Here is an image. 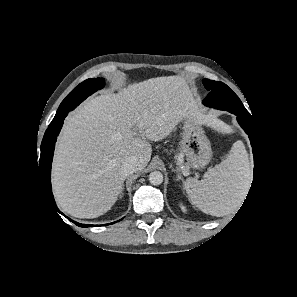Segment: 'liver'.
Segmentation results:
<instances>
[{
	"mask_svg": "<svg viewBox=\"0 0 297 297\" xmlns=\"http://www.w3.org/2000/svg\"><path fill=\"white\" fill-rule=\"evenodd\" d=\"M206 122L203 109L179 76L130 84L86 101L65 119L52 164L58 206L77 218H96L117 201L130 157L143 170L149 141L166 138L185 119Z\"/></svg>",
	"mask_w": 297,
	"mask_h": 297,
	"instance_id": "6515ba94",
	"label": "liver"
}]
</instances>
